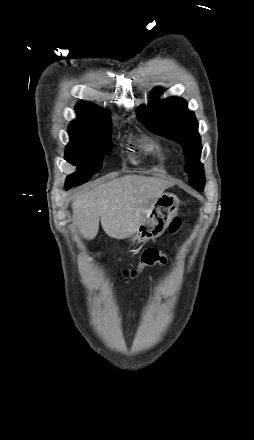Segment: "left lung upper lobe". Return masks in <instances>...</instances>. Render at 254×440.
<instances>
[{
	"label": "left lung upper lobe",
	"mask_w": 254,
	"mask_h": 440,
	"mask_svg": "<svg viewBox=\"0 0 254 440\" xmlns=\"http://www.w3.org/2000/svg\"><path fill=\"white\" fill-rule=\"evenodd\" d=\"M137 118L154 133L179 142L185 155V169L189 173V183L202 189L205 176L203 165L199 162L202 150L201 138L198 134L197 120L194 113L187 109V103L177 97L152 102L137 109Z\"/></svg>",
	"instance_id": "left-lung-upper-lobe-1"
}]
</instances>
